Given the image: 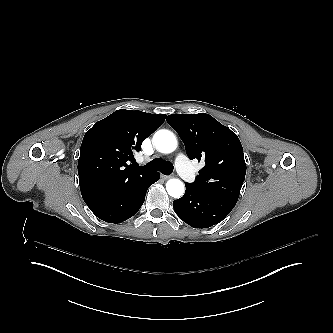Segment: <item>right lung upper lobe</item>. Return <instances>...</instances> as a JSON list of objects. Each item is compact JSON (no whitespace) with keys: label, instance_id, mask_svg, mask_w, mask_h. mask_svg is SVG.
<instances>
[{"label":"right lung upper lobe","instance_id":"1","mask_svg":"<svg viewBox=\"0 0 333 333\" xmlns=\"http://www.w3.org/2000/svg\"><path fill=\"white\" fill-rule=\"evenodd\" d=\"M165 114L117 110L98 121L83 138L78 161L80 187L114 184L146 170L128 165L145 138L160 127Z\"/></svg>","mask_w":333,"mask_h":333}]
</instances>
